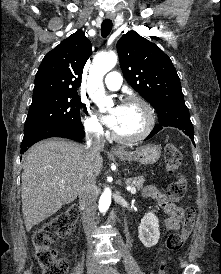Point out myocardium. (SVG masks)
<instances>
[{"label": "myocardium", "mask_w": 221, "mask_h": 274, "mask_svg": "<svg viewBox=\"0 0 221 274\" xmlns=\"http://www.w3.org/2000/svg\"><path fill=\"white\" fill-rule=\"evenodd\" d=\"M132 103L139 104L144 109L146 114V125L144 129L135 136H121L117 134L114 130H112L111 136L117 142L126 143V144L140 142L144 140L152 132L155 126V113L151 104L142 97L127 96L122 99L120 105H127Z\"/></svg>", "instance_id": "1"}]
</instances>
